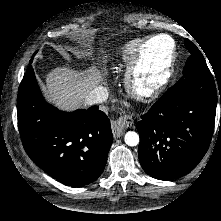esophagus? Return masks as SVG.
<instances>
[{
  "label": "esophagus",
  "mask_w": 221,
  "mask_h": 221,
  "mask_svg": "<svg viewBox=\"0 0 221 221\" xmlns=\"http://www.w3.org/2000/svg\"><path fill=\"white\" fill-rule=\"evenodd\" d=\"M133 119L128 115H121L116 120L111 121V128L114 137H120L125 132V129L132 126Z\"/></svg>",
  "instance_id": "34e87169"
}]
</instances>
